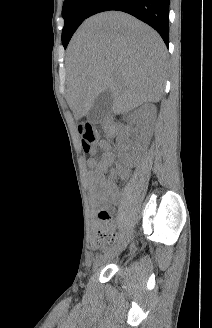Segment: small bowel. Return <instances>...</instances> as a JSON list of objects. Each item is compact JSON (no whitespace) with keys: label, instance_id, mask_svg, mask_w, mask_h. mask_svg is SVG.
<instances>
[{"label":"small bowel","instance_id":"small-bowel-1","mask_svg":"<svg viewBox=\"0 0 212 328\" xmlns=\"http://www.w3.org/2000/svg\"><path fill=\"white\" fill-rule=\"evenodd\" d=\"M98 148L103 151L101 159H88V166L92 168L89 174L90 183L92 185L91 199L94 205H103L107 198H111L114 202L118 201L119 193L115 184L116 177L127 178L130 171L127 167L116 161L115 155L109 150L106 141H100ZM110 170L108 176L106 173ZM105 209H101L100 212ZM97 222L95 226L100 227Z\"/></svg>","mask_w":212,"mask_h":328}]
</instances>
